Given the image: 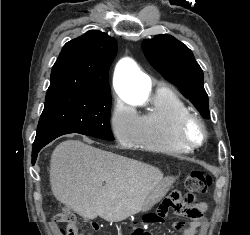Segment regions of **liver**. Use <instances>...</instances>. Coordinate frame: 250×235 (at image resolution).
I'll use <instances>...</instances> for the list:
<instances>
[{"label":"liver","mask_w":250,"mask_h":235,"mask_svg":"<svg viewBox=\"0 0 250 235\" xmlns=\"http://www.w3.org/2000/svg\"><path fill=\"white\" fill-rule=\"evenodd\" d=\"M162 181L154 166L77 140L60 143L50 159L53 195L89 220L119 222L137 214Z\"/></svg>","instance_id":"liver-1"}]
</instances>
